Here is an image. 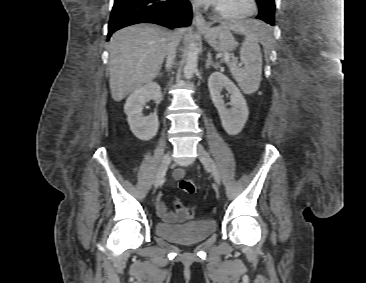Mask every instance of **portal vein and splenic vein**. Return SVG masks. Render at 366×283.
<instances>
[{"mask_svg": "<svg viewBox=\"0 0 366 283\" xmlns=\"http://www.w3.org/2000/svg\"><path fill=\"white\" fill-rule=\"evenodd\" d=\"M229 58H230V55L228 53L224 54V59L225 60H229Z\"/></svg>", "mask_w": 366, "mask_h": 283, "instance_id": "1", "label": "portal vein and splenic vein"}]
</instances>
